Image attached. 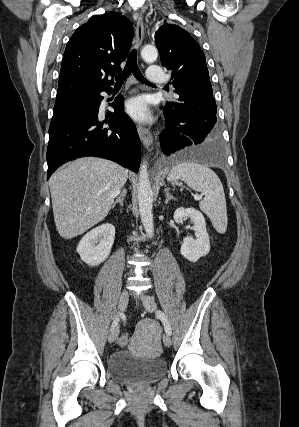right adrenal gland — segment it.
Returning a JSON list of instances; mask_svg holds the SVG:
<instances>
[{"label":"right adrenal gland","mask_w":299,"mask_h":427,"mask_svg":"<svg viewBox=\"0 0 299 427\" xmlns=\"http://www.w3.org/2000/svg\"><path fill=\"white\" fill-rule=\"evenodd\" d=\"M126 196V190L123 189V191L118 195L116 198V201L112 204V209L116 206V204H120L121 207H123L124 198Z\"/></svg>","instance_id":"1"}]
</instances>
